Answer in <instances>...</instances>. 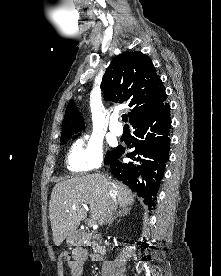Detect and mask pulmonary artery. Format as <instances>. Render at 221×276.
<instances>
[{"label": "pulmonary artery", "mask_w": 221, "mask_h": 276, "mask_svg": "<svg viewBox=\"0 0 221 276\" xmlns=\"http://www.w3.org/2000/svg\"><path fill=\"white\" fill-rule=\"evenodd\" d=\"M110 131L119 136L123 133V127L122 125L118 122V117L117 116H114L111 120V123H110Z\"/></svg>", "instance_id": "pulmonary-artery-1"}]
</instances>
